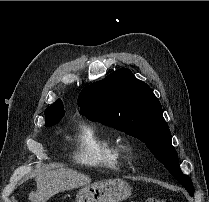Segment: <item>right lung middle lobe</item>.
Instances as JSON below:
<instances>
[{"label": "right lung middle lobe", "mask_w": 209, "mask_h": 202, "mask_svg": "<svg viewBox=\"0 0 209 202\" xmlns=\"http://www.w3.org/2000/svg\"><path fill=\"white\" fill-rule=\"evenodd\" d=\"M64 114H65L64 108H60V109H56V110L45 113V117L53 121V123L50 125V126H53L57 124L63 118Z\"/></svg>", "instance_id": "right-lung-middle-lobe-1"}]
</instances>
